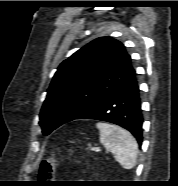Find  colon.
<instances>
[{
  "label": "colon",
  "instance_id": "5ec220e1",
  "mask_svg": "<svg viewBox=\"0 0 178 186\" xmlns=\"http://www.w3.org/2000/svg\"><path fill=\"white\" fill-rule=\"evenodd\" d=\"M56 163V149H53L49 156L40 162L38 178L43 182H52L55 177Z\"/></svg>",
  "mask_w": 178,
  "mask_h": 186
}]
</instances>
